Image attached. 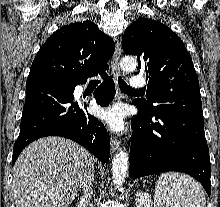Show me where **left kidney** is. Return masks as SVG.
<instances>
[{
  "mask_svg": "<svg viewBox=\"0 0 220 207\" xmlns=\"http://www.w3.org/2000/svg\"><path fill=\"white\" fill-rule=\"evenodd\" d=\"M136 207H151V196L147 192H137L136 194Z\"/></svg>",
  "mask_w": 220,
  "mask_h": 207,
  "instance_id": "1",
  "label": "left kidney"
}]
</instances>
